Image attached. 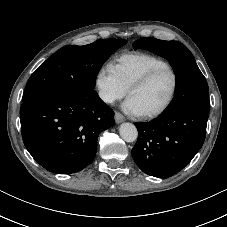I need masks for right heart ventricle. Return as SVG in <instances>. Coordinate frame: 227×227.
Here are the masks:
<instances>
[{
  "label": "right heart ventricle",
  "instance_id": "e07e8e85",
  "mask_svg": "<svg viewBox=\"0 0 227 227\" xmlns=\"http://www.w3.org/2000/svg\"><path fill=\"white\" fill-rule=\"evenodd\" d=\"M168 65L163 59L143 52L123 53L115 58L113 69L128 89L138 78L153 68Z\"/></svg>",
  "mask_w": 227,
  "mask_h": 227
}]
</instances>
